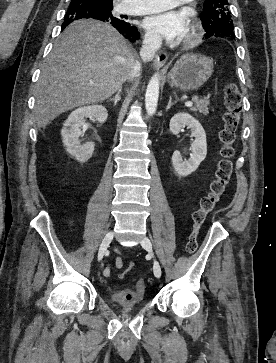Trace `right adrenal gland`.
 <instances>
[{
	"label": "right adrenal gland",
	"mask_w": 276,
	"mask_h": 363,
	"mask_svg": "<svg viewBox=\"0 0 276 363\" xmlns=\"http://www.w3.org/2000/svg\"><path fill=\"white\" fill-rule=\"evenodd\" d=\"M121 92H122V89H119V90L117 91V93H116L115 97H114V98H110V99H108V101H114V105L116 106V105H117V103H118V102L120 101V99H121V96H120Z\"/></svg>",
	"instance_id": "obj_1"
}]
</instances>
